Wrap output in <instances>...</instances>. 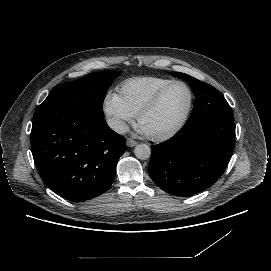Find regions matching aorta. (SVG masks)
<instances>
[{
	"instance_id": "762f6f07",
	"label": "aorta",
	"mask_w": 271,
	"mask_h": 271,
	"mask_svg": "<svg viewBox=\"0 0 271 271\" xmlns=\"http://www.w3.org/2000/svg\"><path fill=\"white\" fill-rule=\"evenodd\" d=\"M135 156L140 160H147L151 157V149L145 144H139L135 148Z\"/></svg>"
}]
</instances>
